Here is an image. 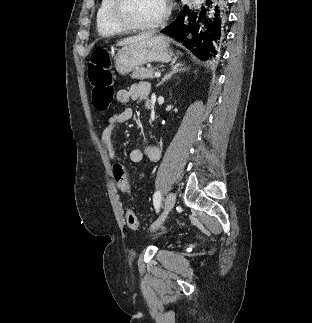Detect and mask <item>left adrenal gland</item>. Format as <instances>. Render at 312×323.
I'll use <instances>...</instances> for the list:
<instances>
[{
    "label": "left adrenal gland",
    "instance_id": "obj_1",
    "mask_svg": "<svg viewBox=\"0 0 312 323\" xmlns=\"http://www.w3.org/2000/svg\"><path fill=\"white\" fill-rule=\"evenodd\" d=\"M181 66H184V64H175V66L174 64H172L169 74H166V76L162 78L161 82H158L156 88H158V86H162V84H164L166 80H170L171 76H173V74H176V72H183L185 68H181Z\"/></svg>",
    "mask_w": 312,
    "mask_h": 323
}]
</instances>
